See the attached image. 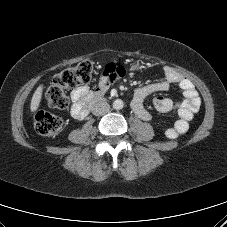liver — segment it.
<instances>
[{"mask_svg":"<svg viewBox=\"0 0 227 227\" xmlns=\"http://www.w3.org/2000/svg\"><path fill=\"white\" fill-rule=\"evenodd\" d=\"M42 92H43V84L37 87L36 91L32 96L31 105H30L31 112H35L37 109V106L40 104L42 99Z\"/></svg>","mask_w":227,"mask_h":227,"instance_id":"liver-1","label":"liver"}]
</instances>
